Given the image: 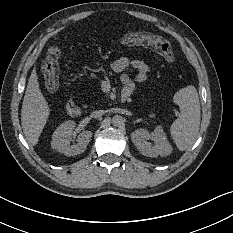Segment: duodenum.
I'll return each mask as SVG.
<instances>
[{"instance_id":"duodenum-1","label":"duodenum","mask_w":233,"mask_h":233,"mask_svg":"<svg viewBox=\"0 0 233 233\" xmlns=\"http://www.w3.org/2000/svg\"><path fill=\"white\" fill-rule=\"evenodd\" d=\"M66 110L67 113L72 117L79 116L81 112L79 106L72 99L67 102Z\"/></svg>"}]
</instances>
